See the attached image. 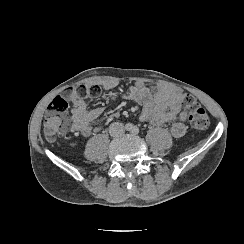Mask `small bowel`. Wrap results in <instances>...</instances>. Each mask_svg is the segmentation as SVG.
<instances>
[{"instance_id": "obj_1", "label": "small bowel", "mask_w": 244, "mask_h": 244, "mask_svg": "<svg viewBox=\"0 0 244 244\" xmlns=\"http://www.w3.org/2000/svg\"><path fill=\"white\" fill-rule=\"evenodd\" d=\"M92 84H99L105 90H114L118 82L112 79L101 80ZM183 94L169 86H148L144 83H135L121 90L120 96L127 97L142 106L140 120L160 127L169 125V132L176 139L186 134L185 120L187 111L182 107L180 99ZM73 104L71 119L72 130L76 133L88 136L95 132L92 122L103 112V107L88 109L85 102L77 96H72ZM117 112H113L110 118H116Z\"/></svg>"}]
</instances>
